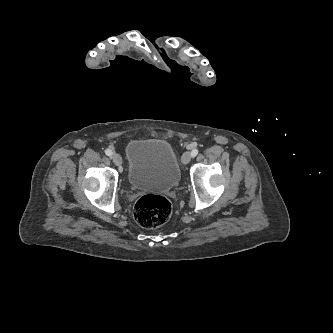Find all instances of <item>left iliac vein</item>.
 <instances>
[{
  "label": "left iliac vein",
  "instance_id": "4c4485c4",
  "mask_svg": "<svg viewBox=\"0 0 333 333\" xmlns=\"http://www.w3.org/2000/svg\"><path fill=\"white\" fill-rule=\"evenodd\" d=\"M191 153L190 152H185L183 155H182V162L183 164H188L190 161H191Z\"/></svg>",
  "mask_w": 333,
  "mask_h": 333
}]
</instances>
